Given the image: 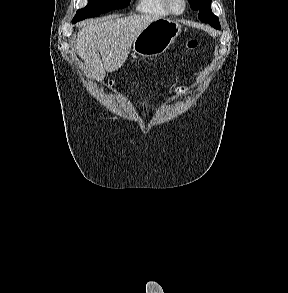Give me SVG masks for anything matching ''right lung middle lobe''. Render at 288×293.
Listing matches in <instances>:
<instances>
[{
  "label": "right lung middle lobe",
  "mask_w": 288,
  "mask_h": 293,
  "mask_svg": "<svg viewBox=\"0 0 288 293\" xmlns=\"http://www.w3.org/2000/svg\"><path fill=\"white\" fill-rule=\"evenodd\" d=\"M129 3L130 0H88V5L77 11L72 22L76 23L85 18L99 16L101 13L124 8Z\"/></svg>",
  "instance_id": "obj_1"
}]
</instances>
